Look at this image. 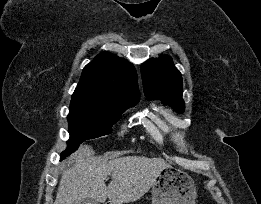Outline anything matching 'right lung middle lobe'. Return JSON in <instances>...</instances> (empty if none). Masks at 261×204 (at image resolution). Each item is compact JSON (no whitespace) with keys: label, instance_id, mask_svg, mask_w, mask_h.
I'll list each match as a JSON object with an SVG mask.
<instances>
[{"label":"right lung middle lobe","instance_id":"obj_1","mask_svg":"<svg viewBox=\"0 0 261 204\" xmlns=\"http://www.w3.org/2000/svg\"><path fill=\"white\" fill-rule=\"evenodd\" d=\"M137 103L98 104L86 99H72L68 115L70 139L61 158L70 155L85 140L109 134L121 114Z\"/></svg>","mask_w":261,"mask_h":204}]
</instances>
